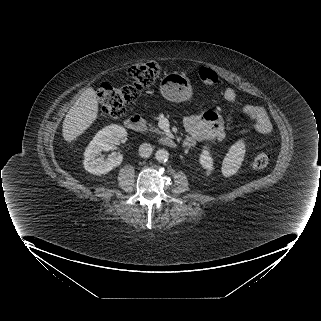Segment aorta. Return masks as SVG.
I'll return each mask as SVG.
<instances>
[{"instance_id":"762f6f07","label":"aorta","mask_w":321,"mask_h":321,"mask_svg":"<svg viewBox=\"0 0 321 321\" xmlns=\"http://www.w3.org/2000/svg\"><path fill=\"white\" fill-rule=\"evenodd\" d=\"M155 158L158 162H166L169 158V153L165 149H159L155 153Z\"/></svg>"}]
</instances>
